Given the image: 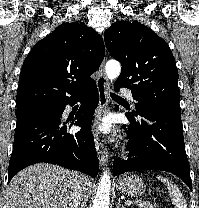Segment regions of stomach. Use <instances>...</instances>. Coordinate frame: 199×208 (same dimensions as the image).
I'll return each instance as SVG.
<instances>
[{
    "instance_id": "obj_1",
    "label": "stomach",
    "mask_w": 199,
    "mask_h": 208,
    "mask_svg": "<svg viewBox=\"0 0 199 208\" xmlns=\"http://www.w3.org/2000/svg\"><path fill=\"white\" fill-rule=\"evenodd\" d=\"M116 187L120 193L129 197L142 196L146 190L143 180L136 175L125 176L119 179Z\"/></svg>"
}]
</instances>
